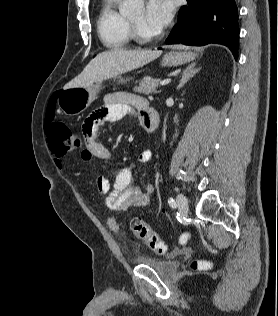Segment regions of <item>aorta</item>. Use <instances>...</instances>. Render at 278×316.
Listing matches in <instances>:
<instances>
[{
	"label": "aorta",
	"instance_id": "obj_1",
	"mask_svg": "<svg viewBox=\"0 0 278 316\" xmlns=\"http://www.w3.org/2000/svg\"><path fill=\"white\" fill-rule=\"evenodd\" d=\"M144 7V0H125L124 4L120 8V12L123 15H132L140 13Z\"/></svg>",
	"mask_w": 278,
	"mask_h": 316
}]
</instances>
